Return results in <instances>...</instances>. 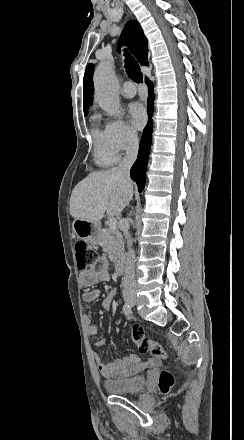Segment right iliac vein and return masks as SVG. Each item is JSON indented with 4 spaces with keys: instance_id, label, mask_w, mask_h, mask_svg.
I'll return each instance as SVG.
<instances>
[{
    "instance_id": "1",
    "label": "right iliac vein",
    "mask_w": 244,
    "mask_h": 440,
    "mask_svg": "<svg viewBox=\"0 0 244 440\" xmlns=\"http://www.w3.org/2000/svg\"><path fill=\"white\" fill-rule=\"evenodd\" d=\"M126 303L129 305H133L135 303V300L133 298L127 297L125 299Z\"/></svg>"
}]
</instances>
